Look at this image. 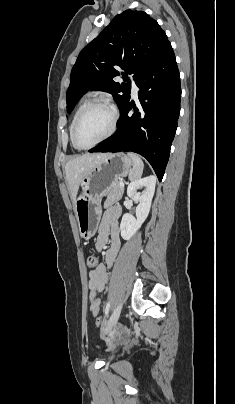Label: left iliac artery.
Wrapping results in <instances>:
<instances>
[{
    "instance_id": "1",
    "label": "left iliac artery",
    "mask_w": 235,
    "mask_h": 404,
    "mask_svg": "<svg viewBox=\"0 0 235 404\" xmlns=\"http://www.w3.org/2000/svg\"><path fill=\"white\" fill-rule=\"evenodd\" d=\"M109 308H110V303L108 302L107 305H106V308H105V316L108 315Z\"/></svg>"
}]
</instances>
